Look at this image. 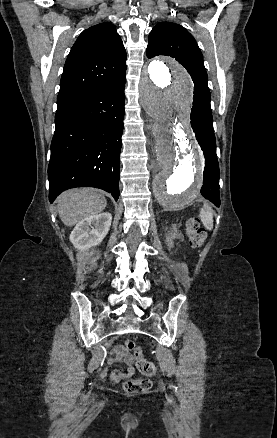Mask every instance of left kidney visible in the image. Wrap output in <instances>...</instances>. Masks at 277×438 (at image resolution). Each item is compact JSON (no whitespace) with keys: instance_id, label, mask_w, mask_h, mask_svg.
Returning <instances> with one entry per match:
<instances>
[{"instance_id":"left-kidney-1","label":"left kidney","mask_w":277,"mask_h":438,"mask_svg":"<svg viewBox=\"0 0 277 438\" xmlns=\"http://www.w3.org/2000/svg\"><path fill=\"white\" fill-rule=\"evenodd\" d=\"M171 232H168L166 236V244L170 250V248H174V242L175 238H178V226L176 224H173L172 228H170Z\"/></svg>"}]
</instances>
